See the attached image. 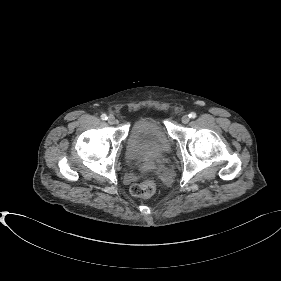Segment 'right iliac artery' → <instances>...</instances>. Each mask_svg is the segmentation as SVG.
I'll return each instance as SVG.
<instances>
[{
  "instance_id": "1",
  "label": "right iliac artery",
  "mask_w": 281,
  "mask_h": 281,
  "mask_svg": "<svg viewBox=\"0 0 281 281\" xmlns=\"http://www.w3.org/2000/svg\"><path fill=\"white\" fill-rule=\"evenodd\" d=\"M101 119H102V120H107L108 117L106 116V114H102V115H101Z\"/></svg>"
}]
</instances>
